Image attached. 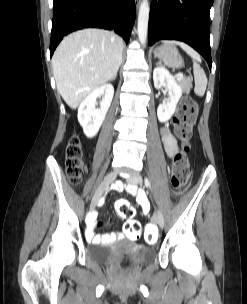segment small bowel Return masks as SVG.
I'll return each mask as SVG.
<instances>
[{
    "mask_svg": "<svg viewBox=\"0 0 247 304\" xmlns=\"http://www.w3.org/2000/svg\"><path fill=\"white\" fill-rule=\"evenodd\" d=\"M161 137H162V142H163L166 154L170 158H174L179 153V149H178L176 139L171 134V132L167 126L162 127ZM127 191L136 197L137 202L140 205L143 214H147L150 210V203L148 201L146 194L143 191L137 190L136 188H134L132 186L127 187ZM100 225H101V223L98 222L96 219L93 220V222L91 223V225L89 226V228L86 231L87 240H89L93 243H100V242L114 241L117 238L121 239V238H124L125 236L129 237L128 235H124L123 233H120L118 235H116L114 233L98 235L95 233V230Z\"/></svg>",
    "mask_w": 247,
    "mask_h": 304,
    "instance_id": "1",
    "label": "small bowel"
}]
</instances>
